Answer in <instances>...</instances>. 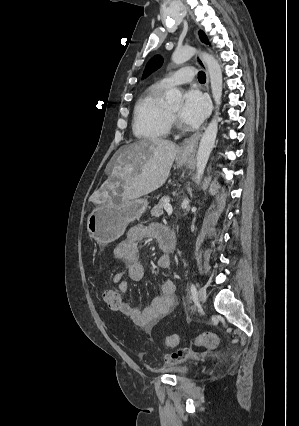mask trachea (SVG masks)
I'll use <instances>...</instances> for the list:
<instances>
[{
    "label": "trachea",
    "mask_w": 299,
    "mask_h": 426,
    "mask_svg": "<svg viewBox=\"0 0 299 426\" xmlns=\"http://www.w3.org/2000/svg\"><path fill=\"white\" fill-rule=\"evenodd\" d=\"M198 79L200 82H205L206 81V75L203 71H200L198 74Z\"/></svg>",
    "instance_id": "obj_1"
}]
</instances>
